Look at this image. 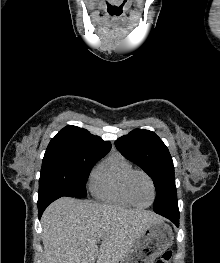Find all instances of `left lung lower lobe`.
<instances>
[{"mask_svg":"<svg viewBox=\"0 0 220 263\" xmlns=\"http://www.w3.org/2000/svg\"><path fill=\"white\" fill-rule=\"evenodd\" d=\"M169 220H171L176 226H179V210L169 209L167 211H163L158 213Z\"/></svg>","mask_w":220,"mask_h":263,"instance_id":"obj_1","label":"left lung lower lobe"}]
</instances>
